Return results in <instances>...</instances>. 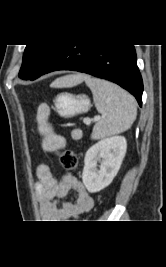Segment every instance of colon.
<instances>
[{
	"instance_id": "1",
	"label": "colon",
	"mask_w": 166,
	"mask_h": 267,
	"mask_svg": "<svg viewBox=\"0 0 166 267\" xmlns=\"http://www.w3.org/2000/svg\"><path fill=\"white\" fill-rule=\"evenodd\" d=\"M60 162L66 170H75L78 166V158L71 150H64L60 153Z\"/></svg>"
}]
</instances>
